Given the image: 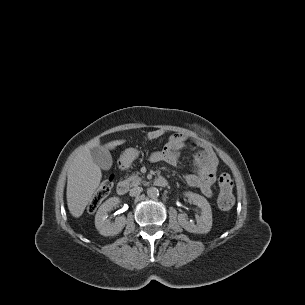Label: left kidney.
<instances>
[{"mask_svg": "<svg viewBox=\"0 0 305 305\" xmlns=\"http://www.w3.org/2000/svg\"><path fill=\"white\" fill-rule=\"evenodd\" d=\"M193 204L200 208V216H196V224L192 220H188L186 214H178V222L186 231L190 233L206 234L211 230L212 227V211L209 202L203 196L186 192L184 194Z\"/></svg>", "mask_w": 305, "mask_h": 305, "instance_id": "left-kidney-1", "label": "left kidney"}]
</instances>
